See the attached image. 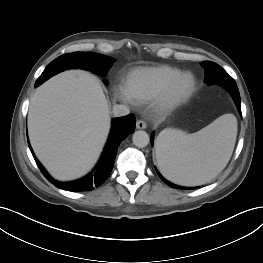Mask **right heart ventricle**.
Here are the masks:
<instances>
[{"instance_id": "right-heart-ventricle-1", "label": "right heart ventricle", "mask_w": 263, "mask_h": 263, "mask_svg": "<svg viewBox=\"0 0 263 263\" xmlns=\"http://www.w3.org/2000/svg\"><path fill=\"white\" fill-rule=\"evenodd\" d=\"M181 72L179 68L170 65L136 68L128 73L124 90L132 102L146 103L153 100Z\"/></svg>"}]
</instances>
